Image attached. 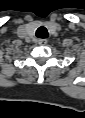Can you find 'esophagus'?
Instances as JSON below:
<instances>
[{
    "label": "esophagus",
    "instance_id": "esophagus-1",
    "mask_svg": "<svg viewBox=\"0 0 85 118\" xmlns=\"http://www.w3.org/2000/svg\"><path fill=\"white\" fill-rule=\"evenodd\" d=\"M47 42H48L47 39H39V40H38V44H39V45H42V46H43V45H46Z\"/></svg>",
    "mask_w": 85,
    "mask_h": 118
}]
</instances>
